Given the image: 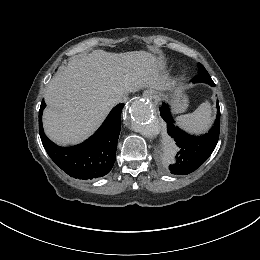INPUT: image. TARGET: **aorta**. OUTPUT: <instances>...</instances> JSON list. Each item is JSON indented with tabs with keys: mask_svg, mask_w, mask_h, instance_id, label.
Returning a JSON list of instances; mask_svg holds the SVG:
<instances>
[{
	"mask_svg": "<svg viewBox=\"0 0 260 260\" xmlns=\"http://www.w3.org/2000/svg\"><path fill=\"white\" fill-rule=\"evenodd\" d=\"M126 122L133 131L146 137H153L160 131L154 119L153 109L144 99L137 98L132 101L126 113ZM168 143L175 147L171 139H168Z\"/></svg>",
	"mask_w": 260,
	"mask_h": 260,
	"instance_id": "aorta-1",
	"label": "aorta"
}]
</instances>
